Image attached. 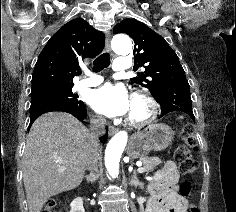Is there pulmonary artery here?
Instances as JSON below:
<instances>
[{
  "instance_id": "pulmonary-artery-1",
  "label": "pulmonary artery",
  "mask_w": 236,
  "mask_h": 212,
  "mask_svg": "<svg viewBox=\"0 0 236 212\" xmlns=\"http://www.w3.org/2000/svg\"><path fill=\"white\" fill-rule=\"evenodd\" d=\"M131 67V62L125 58H117L113 65V70L115 71H124L128 70ZM103 81V78L98 75L87 74L84 79H81L77 82V88H88L99 85Z\"/></svg>"
}]
</instances>
